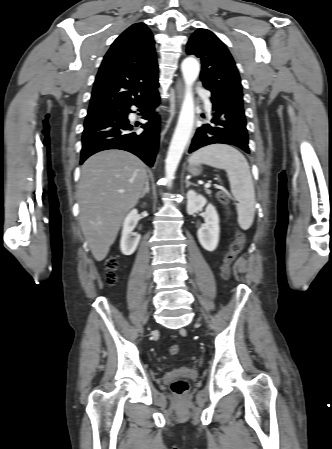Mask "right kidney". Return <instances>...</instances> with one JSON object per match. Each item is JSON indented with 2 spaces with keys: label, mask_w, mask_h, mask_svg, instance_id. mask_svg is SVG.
Masks as SVG:
<instances>
[{
  "label": "right kidney",
  "mask_w": 332,
  "mask_h": 449,
  "mask_svg": "<svg viewBox=\"0 0 332 449\" xmlns=\"http://www.w3.org/2000/svg\"><path fill=\"white\" fill-rule=\"evenodd\" d=\"M139 221V215L137 210H132L126 216L123 223L122 236L120 241L121 252L124 255H131L135 252L138 243L140 241V234L133 232Z\"/></svg>",
  "instance_id": "ca27d5eb"
}]
</instances>
